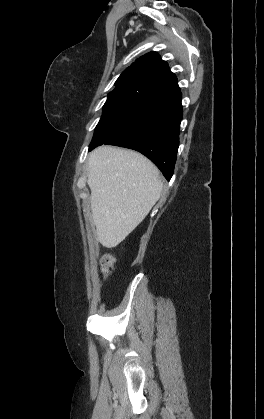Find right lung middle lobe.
I'll return each instance as SVG.
<instances>
[{
    "instance_id": "dd1d6c3e",
    "label": "right lung middle lobe",
    "mask_w": 264,
    "mask_h": 419,
    "mask_svg": "<svg viewBox=\"0 0 264 419\" xmlns=\"http://www.w3.org/2000/svg\"><path fill=\"white\" fill-rule=\"evenodd\" d=\"M151 99L145 93L128 87H116L104 105L103 115L95 128L89 150L111 138L122 129L137 113L144 102Z\"/></svg>"
}]
</instances>
